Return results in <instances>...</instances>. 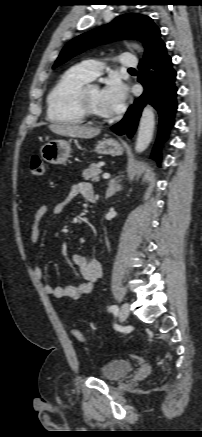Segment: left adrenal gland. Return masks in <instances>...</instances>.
I'll return each instance as SVG.
<instances>
[{
  "label": "left adrenal gland",
  "mask_w": 202,
  "mask_h": 437,
  "mask_svg": "<svg viewBox=\"0 0 202 437\" xmlns=\"http://www.w3.org/2000/svg\"><path fill=\"white\" fill-rule=\"evenodd\" d=\"M118 178H119V176L110 180V182L108 184V189L106 192V198L113 196L116 192H118L122 189V186L119 184V182L121 180H118Z\"/></svg>",
  "instance_id": "1"
}]
</instances>
